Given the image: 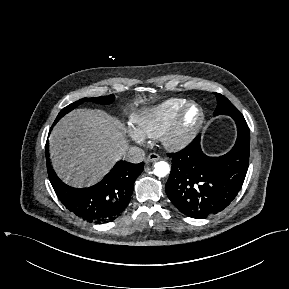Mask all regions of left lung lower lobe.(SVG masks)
Masks as SVG:
<instances>
[{
	"label": "left lung lower lobe",
	"mask_w": 289,
	"mask_h": 289,
	"mask_svg": "<svg viewBox=\"0 0 289 289\" xmlns=\"http://www.w3.org/2000/svg\"><path fill=\"white\" fill-rule=\"evenodd\" d=\"M235 122L236 143L223 156H206L200 136L180 152L168 154L172 169L166 194L185 215L203 219L215 214L226 208L241 189L248 170L250 133L244 118Z\"/></svg>",
	"instance_id": "obj_1"
}]
</instances>
